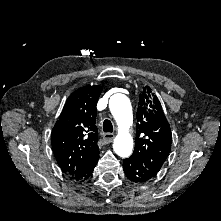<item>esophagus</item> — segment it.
Listing matches in <instances>:
<instances>
[{"instance_id": "34e87169", "label": "esophagus", "mask_w": 221, "mask_h": 221, "mask_svg": "<svg viewBox=\"0 0 221 221\" xmlns=\"http://www.w3.org/2000/svg\"><path fill=\"white\" fill-rule=\"evenodd\" d=\"M114 137H115V135L113 133H105L103 135V139L107 142H112Z\"/></svg>"}]
</instances>
